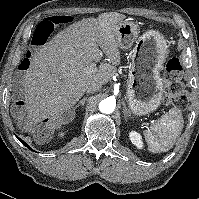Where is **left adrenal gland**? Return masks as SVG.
Masks as SVG:
<instances>
[{"label": "left adrenal gland", "mask_w": 199, "mask_h": 199, "mask_svg": "<svg viewBox=\"0 0 199 199\" xmlns=\"http://www.w3.org/2000/svg\"><path fill=\"white\" fill-rule=\"evenodd\" d=\"M123 105V113H124V117L127 119V117H131L129 110L127 109L125 102L123 101L122 103Z\"/></svg>", "instance_id": "obj_1"}]
</instances>
